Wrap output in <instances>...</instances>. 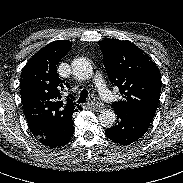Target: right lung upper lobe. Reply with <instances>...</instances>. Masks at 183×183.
Listing matches in <instances>:
<instances>
[{
	"label": "right lung upper lobe",
	"instance_id": "1",
	"mask_svg": "<svg viewBox=\"0 0 183 183\" xmlns=\"http://www.w3.org/2000/svg\"><path fill=\"white\" fill-rule=\"evenodd\" d=\"M69 41H54L38 51L24 67L20 94L29 128L34 136H58L73 130L72 115L81 106L62 92L69 83L57 73V64L71 49Z\"/></svg>",
	"mask_w": 183,
	"mask_h": 183
}]
</instances>
